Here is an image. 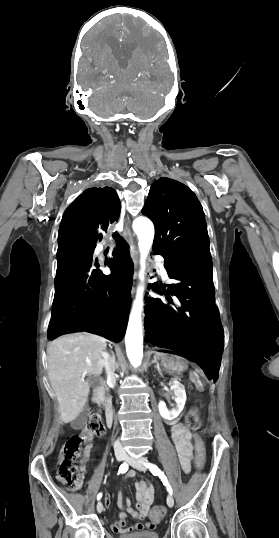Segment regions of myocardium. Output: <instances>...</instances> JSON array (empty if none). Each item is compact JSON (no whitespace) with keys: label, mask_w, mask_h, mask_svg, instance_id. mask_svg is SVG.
Returning <instances> with one entry per match:
<instances>
[{"label":"myocardium","mask_w":279,"mask_h":538,"mask_svg":"<svg viewBox=\"0 0 279 538\" xmlns=\"http://www.w3.org/2000/svg\"><path fill=\"white\" fill-rule=\"evenodd\" d=\"M102 240V236H100V241Z\"/></svg>","instance_id":"f54148a6"}]
</instances>
